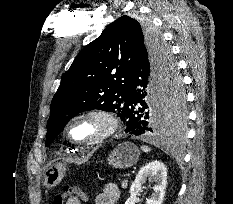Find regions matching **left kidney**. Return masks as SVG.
Instances as JSON below:
<instances>
[{
	"mask_svg": "<svg viewBox=\"0 0 233 204\" xmlns=\"http://www.w3.org/2000/svg\"><path fill=\"white\" fill-rule=\"evenodd\" d=\"M146 180L155 182L154 192L151 198L146 200V204H162L167 186V168L160 161H152L140 169L130 187V197L125 204H135L137 202V195Z\"/></svg>",
	"mask_w": 233,
	"mask_h": 204,
	"instance_id": "left-kidney-1",
	"label": "left kidney"
}]
</instances>
